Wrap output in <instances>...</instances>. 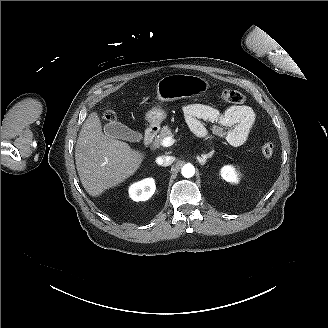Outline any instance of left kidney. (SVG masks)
I'll return each mask as SVG.
<instances>
[{
    "label": "left kidney",
    "instance_id": "obj_1",
    "mask_svg": "<svg viewBox=\"0 0 328 328\" xmlns=\"http://www.w3.org/2000/svg\"><path fill=\"white\" fill-rule=\"evenodd\" d=\"M221 177L230 183H239V174L232 165L223 166L220 170Z\"/></svg>",
    "mask_w": 328,
    "mask_h": 328
}]
</instances>
